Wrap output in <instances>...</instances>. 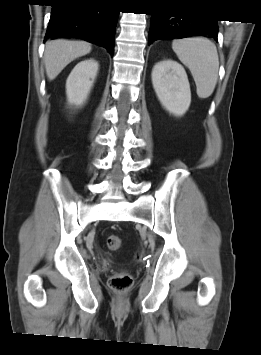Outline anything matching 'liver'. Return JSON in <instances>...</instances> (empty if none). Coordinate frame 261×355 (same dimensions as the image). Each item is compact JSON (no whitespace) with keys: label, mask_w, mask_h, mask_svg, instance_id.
Listing matches in <instances>:
<instances>
[{"label":"liver","mask_w":261,"mask_h":355,"mask_svg":"<svg viewBox=\"0 0 261 355\" xmlns=\"http://www.w3.org/2000/svg\"><path fill=\"white\" fill-rule=\"evenodd\" d=\"M91 51V45L84 41L54 40L46 44L44 53L45 70L48 79H55L74 59Z\"/></svg>","instance_id":"1"}]
</instances>
